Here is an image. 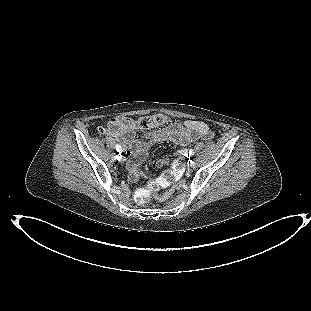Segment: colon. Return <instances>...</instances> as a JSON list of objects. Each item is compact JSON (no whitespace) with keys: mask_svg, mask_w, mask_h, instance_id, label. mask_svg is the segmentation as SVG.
I'll list each match as a JSON object with an SVG mask.
<instances>
[{"mask_svg":"<svg viewBox=\"0 0 311 311\" xmlns=\"http://www.w3.org/2000/svg\"><path fill=\"white\" fill-rule=\"evenodd\" d=\"M168 122V117L164 114H154L151 116L142 117L137 121V125L144 129L154 128L164 125ZM111 129H117V122L114 121ZM102 134L105 131L99 130ZM177 175V168L173 167L165 171L155 179L150 180L147 184L139 189L135 194V199L139 204L149 203L153 198L157 197L159 190L162 187L168 186L174 181Z\"/></svg>","mask_w":311,"mask_h":311,"instance_id":"5ec220e1","label":"colon"}]
</instances>
